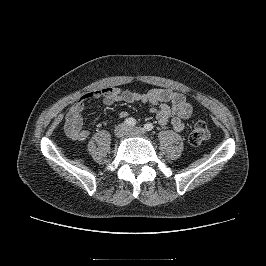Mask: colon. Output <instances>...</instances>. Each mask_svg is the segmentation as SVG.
<instances>
[{"label":"colon","instance_id":"5ec220e1","mask_svg":"<svg viewBox=\"0 0 266 266\" xmlns=\"http://www.w3.org/2000/svg\"><path fill=\"white\" fill-rule=\"evenodd\" d=\"M210 136L208 127L206 123L202 120H199L195 123L191 134L189 136V142L192 145H200L206 141Z\"/></svg>","mask_w":266,"mask_h":266}]
</instances>
